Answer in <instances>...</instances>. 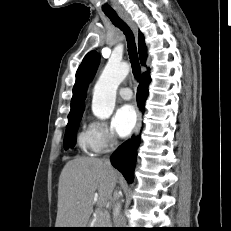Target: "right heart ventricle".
Instances as JSON below:
<instances>
[{"mask_svg": "<svg viewBox=\"0 0 231 231\" xmlns=\"http://www.w3.org/2000/svg\"><path fill=\"white\" fill-rule=\"evenodd\" d=\"M77 142L79 147L89 154H97L100 152L99 145L95 139V136L89 127L83 128L78 134Z\"/></svg>", "mask_w": 231, "mask_h": 231, "instance_id": "e07e8e85", "label": "right heart ventricle"}]
</instances>
